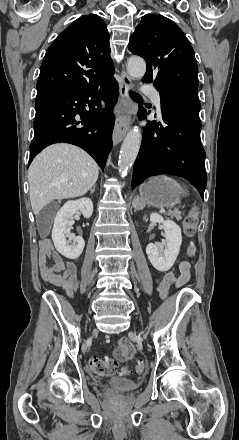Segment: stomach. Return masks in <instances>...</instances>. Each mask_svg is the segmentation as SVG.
<instances>
[{"instance_id": "stomach-1", "label": "stomach", "mask_w": 239, "mask_h": 440, "mask_svg": "<svg viewBox=\"0 0 239 440\" xmlns=\"http://www.w3.org/2000/svg\"><path fill=\"white\" fill-rule=\"evenodd\" d=\"M139 192L141 204H150L155 208H173L180 204L183 194L181 186L165 176L149 178V182L141 184Z\"/></svg>"}]
</instances>
